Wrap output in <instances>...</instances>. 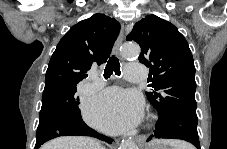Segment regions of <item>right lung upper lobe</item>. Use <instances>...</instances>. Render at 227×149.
I'll return each instance as SVG.
<instances>
[{"instance_id": "1", "label": "right lung upper lobe", "mask_w": 227, "mask_h": 149, "mask_svg": "<svg viewBox=\"0 0 227 149\" xmlns=\"http://www.w3.org/2000/svg\"><path fill=\"white\" fill-rule=\"evenodd\" d=\"M119 31V22L104 14H95L72 26L50 59L45 88L76 86L89 69L107 61Z\"/></svg>"}]
</instances>
